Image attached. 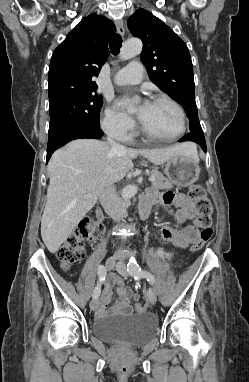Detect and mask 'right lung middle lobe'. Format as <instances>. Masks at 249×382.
I'll list each match as a JSON object with an SVG mask.
<instances>
[{
    "instance_id": "obj_1",
    "label": "right lung middle lobe",
    "mask_w": 249,
    "mask_h": 382,
    "mask_svg": "<svg viewBox=\"0 0 249 382\" xmlns=\"http://www.w3.org/2000/svg\"><path fill=\"white\" fill-rule=\"evenodd\" d=\"M102 96L89 94L67 97L50 103L48 134L75 125H99Z\"/></svg>"
}]
</instances>
